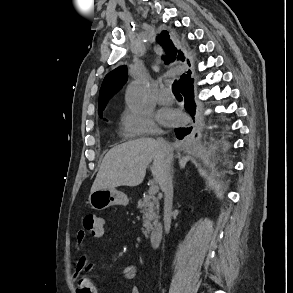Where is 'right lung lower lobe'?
I'll return each mask as SVG.
<instances>
[{"label": "right lung lower lobe", "instance_id": "right-lung-lower-lobe-1", "mask_svg": "<svg viewBox=\"0 0 293 293\" xmlns=\"http://www.w3.org/2000/svg\"><path fill=\"white\" fill-rule=\"evenodd\" d=\"M180 91L185 98V109L194 118L196 105L194 102V92H193V79L186 81L182 86H180ZM191 128H178L175 130L178 139H183L184 136L189 134Z\"/></svg>", "mask_w": 293, "mask_h": 293}]
</instances>
